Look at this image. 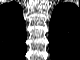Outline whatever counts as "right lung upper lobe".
I'll return each mask as SVG.
<instances>
[{
	"instance_id": "1",
	"label": "right lung upper lobe",
	"mask_w": 80,
	"mask_h": 60,
	"mask_svg": "<svg viewBox=\"0 0 80 60\" xmlns=\"http://www.w3.org/2000/svg\"><path fill=\"white\" fill-rule=\"evenodd\" d=\"M26 31L23 10L17 3L0 7V51L5 55L22 54L26 51Z\"/></svg>"
}]
</instances>
